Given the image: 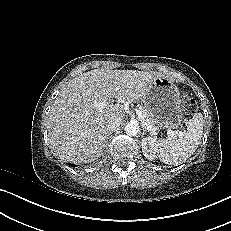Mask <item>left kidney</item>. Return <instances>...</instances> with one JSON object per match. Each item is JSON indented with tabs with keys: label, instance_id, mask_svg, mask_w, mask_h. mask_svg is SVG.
Instances as JSON below:
<instances>
[{
	"label": "left kidney",
	"instance_id": "5707ae66",
	"mask_svg": "<svg viewBox=\"0 0 231 231\" xmlns=\"http://www.w3.org/2000/svg\"><path fill=\"white\" fill-rule=\"evenodd\" d=\"M143 155L148 160H154L157 152V142L155 138L146 137L141 142Z\"/></svg>",
	"mask_w": 231,
	"mask_h": 231
}]
</instances>
